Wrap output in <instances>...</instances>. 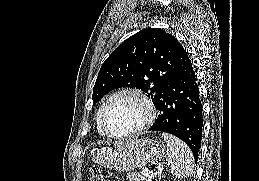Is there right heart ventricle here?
<instances>
[{"instance_id": "e07e8e85", "label": "right heart ventricle", "mask_w": 259, "mask_h": 181, "mask_svg": "<svg viewBox=\"0 0 259 181\" xmlns=\"http://www.w3.org/2000/svg\"><path fill=\"white\" fill-rule=\"evenodd\" d=\"M101 109V108H100ZM100 109L98 110L97 114H96V122H97V130H98V133L101 135V136H107L104 132V130L102 129L101 125H100V122H99V113H100Z\"/></svg>"}]
</instances>
